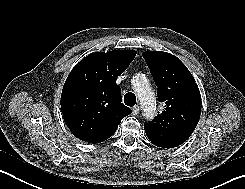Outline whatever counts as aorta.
I'll return each mask as SVG.
<instances>
[{
  "label": "aorta",
  "instance_id": "762f6f07",
  "mask_svg": "<svg viewBox=\"0 0 245 189\" xmlns=\"http://www.w3.org/2000/svg\"><path fill=\"white\" fill-rule=\"evenodd\" d=\"M133 87L137 92L138 99L146 119H153L156 114V100L153 90L150 88L145 75L137 74L132 80Z\"/></svg>",
  "mask_w": 245,
  "mask_h": 189
}]
</instances>
